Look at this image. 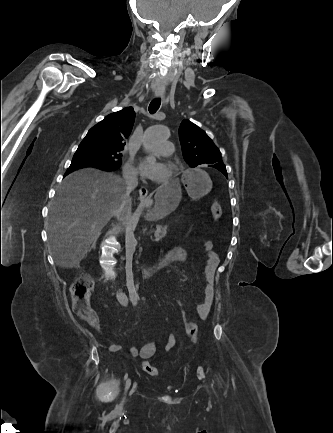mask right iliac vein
<instances>
[{
  "instance_id": "1",
  "label": "right iliac vein",
  "mask_w": 333,
  "mask_h": 433,
  "mask_svg": "<svg viewBox=\"0 0 333 433\" xmlns=\"http://www.w3.org/2000/svg\"><path fill=\"white\" fill-rule=\"evenodd\" d=\"M130 385H131V380L128 379V380L126 381V384H125V390H128L129 387H130ZM136 387H137V385L135 384L134 387L132 388L130 394H132V393H134V392L136 391Z\"/></svg>"
}]
</instances>
